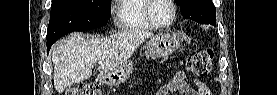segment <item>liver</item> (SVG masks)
I'll list each match as a JSON object with an SVG mask.
<instances>
[{
  "label": "liver",
  "instance_id": "1",
  "mask_svg": "<svg viewBox=\"0 0 277 95\" xmlns=\"http://www.w3.org/2000/svg\"><path fill=\"white\" fill-rule=\"evenodd\" d=\"M152 36L141 30H124L89 40L83 34H71L52 48L56 91L62 93L73 83L90 78L97 63L100 73L113 71L127 62L135 49Z\"/></svg>",
  "mask_w": 277,
  "mask_h": 95
}]
</instances>
